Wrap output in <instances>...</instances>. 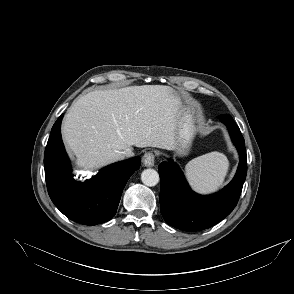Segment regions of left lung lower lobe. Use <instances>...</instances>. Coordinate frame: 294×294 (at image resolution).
Instances as JSON below:
<instances>
[{
	"label": "left lung lower lobe",
	"mask_w": 294,
	"mask_h": 294,
	"mask_svg": "<svg viewBox=\"0 0 294 294\" xmlns=\"http://www.w3.org/2000/svg\"><path fill=\"white\" fill-rule=\"evenodd\" d=\"M222 120L237 147L240 162L233 180L221 191L209 196L193 192L176 163L164 161L158 166L161 180L160 209L166 223L184 231H200L219 223L235 208L246 179L247 155L244 138L230 115Z\"/></svg>",
	"instance_id": "obj_1"
}]
</instances>
